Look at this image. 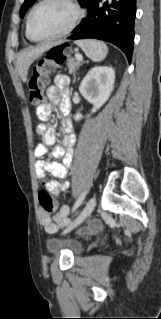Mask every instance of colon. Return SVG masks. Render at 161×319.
Segmentation results:
<instances>
[{"instance_id":"5ec220e1","label":"colon","mask_w":161,"mask_h":319,"mask_svg":"<svg viewBox=\"0 0 161 319\" xmlns=\"http://www.w3.org/2000/svg\"><path fill=\"white\" fill-rule=\"evenodd\" d=\"M72 54V48L68 44H58L48 50L35 66L28 81L30 100L38 104L42 100L44 87L49 83L50 72L60 67ZM38 200L44 211L52 212L57 202L50 193L43 189L39 192Z\"/></svg>"}]
</instances>
